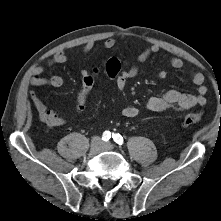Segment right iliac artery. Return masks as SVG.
Returning <instances> with one entry per match:
<instances>
[{"mask_svg":"<svg viewBox=\"0 0 221 221\" xmlns=\"http://www.w3.org/2000/svg\"><path fill=\"white\" fill-rule=\"evenodd\" d=\"M111 138V133L109 131H105L102 135L103 141H108Z\"/></svg>","mask_w":221,"mask_h":221,"instance_id":"1","label":"right iliac artery"}]
</instances>
